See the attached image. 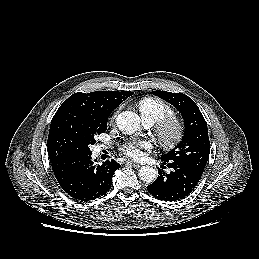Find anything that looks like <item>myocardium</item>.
Masks as SVG:
<instances>
[{"label":"myocardium","mask_w":259,"mask_h":259,"mask_svg":"<svg viewBox=\"0 0 259 259\" xmlns=\"http://www.w3.org/2000/svg\"><path fill=\"white\" fill-rule=\"evenodd\" d=\"M155 135L163 147L174 148L184 138L185 124L174 115L166 116L157 122Z\"/></svg>","instance_id":"obj_1"}]
</instances>
